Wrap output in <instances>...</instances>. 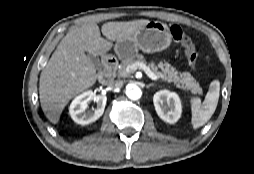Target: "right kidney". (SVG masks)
<instances>
[{
  "label": "right kidney",
  "mask_w": 254,
  "mask_h": 174,
  "mask_svg": "<svg viewBox=\"0 0 254 174\" xmlns=\"http://www.w3.org/2000/svg\"><path fill=\"white\" fill-rule=\"evenodd\" d=\"M95 101L97 108L92 112H86L88 103ZM107 97L95 95L92 91H85L78 95L70 104L69 113L71 118L80 125L90 124L99 119L104 113Z\"/></svg>",
  "instance_id": "1"
}]
</instances>
